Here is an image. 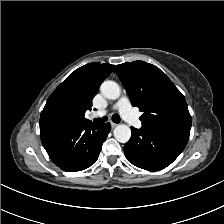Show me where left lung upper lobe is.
I'll return each instance as SVG.
<instances>
[{
    "mask_svg": "<svg viewBox=\"0 0 224 224\" xmlns=\"http://www.w3.org/2000/svg\"><path fill=\"white\" fill-rule=\"evenodd\" d=\"M133 106L144 114L142 128L189 139L191 116L183 94L156 66L144 61L117 65L114 70Z\"/></svg>",
    "mask_w": 224,
    "mask_h": 224,
    "instance_id": "obj_1",
    "label": "left lung upper lobe"
}]
</instances>
